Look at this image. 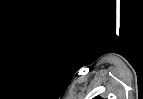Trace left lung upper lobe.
Segmentation results:
<instances>
[{"label":"left lung upper lobe","mask_w":143,"mask_h":99,"mask_svg":"<svg viewBox=\"0 0 143 99\" xmlns=\"http://www.w3.org/2000/svg\"><path fill=\"white\" fill-rule=\"evenodd\" d=\"M94 99H102L101 97H99V96H97V97H95Z\"/></svg>","instance_id":"left-lung-upper-lobe-1"}]
</instances>
